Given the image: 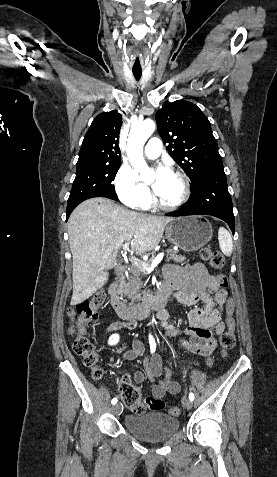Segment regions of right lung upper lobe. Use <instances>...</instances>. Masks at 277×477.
Returning <instances> with one entry per match:
<instances>
[{
    "label": "right lung upper lobe",
    "mask_w": 277,
    "mask_h": 477,
    "mask_svg": "<svg viewBox=\"0 0 277 477\" xmlns=\"http://www.w3.org/2000/svg\"><path fill=\"white\" fill-rule=\"evenodd\" d=\"M121 125L122 116L116 110L100 113L84 137L77 168L121 164L118 145Z\"/></svg>",
    "instance_id": "obj_1"
}]
</instances>
